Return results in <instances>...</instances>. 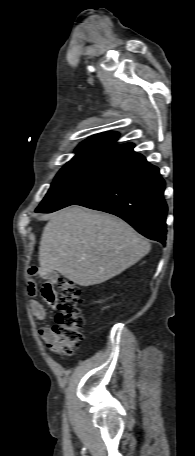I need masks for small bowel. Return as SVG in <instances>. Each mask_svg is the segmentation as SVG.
<instances>
[{"label":"small bowel","instance_id":"small-bowel-1","mask_svg":"<svg viewBox=\"0 0 195 456\" xmlns=\"http://www.w3.org/2000/svg\"><path fill=\"white\" fill-rule=\"evenodd\" d=\"M36 275V271L34 268L30 270V281H29V292L32 296H36L38 293V287L34 282V277ZM44 282L41 286L40 292L42 297L51 305L55 303V293H54V282L55 277L52 274H43L40 276ZM30 308L32 314L38 319H45L46 317V310L44 306L37 300H31ZM39 334L41 338L47 343H55L57 340V335L50 327H43L39 330Z\"/></svg>","mask_w":195,"mask_h":456}]
</instances>
